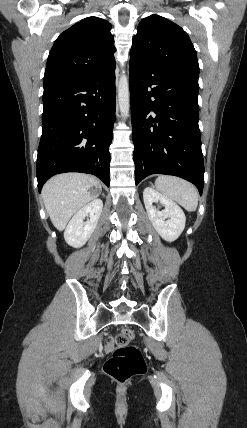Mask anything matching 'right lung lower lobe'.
<instances>
[{"instance_id": "obj_1", "label": "right lung lower lobe", "mask_w": 247, "mask_h": 428, "mask_svg": "<svg viewBox=\"0 0 247 428\" xmlns=\"http://www.w3.org/2000/svg\"><path fill=\"white\" fill-rule=\"evenodd\" d=\"M38 190L53 175L89 173L109 187L115 122V61L88 77L44 89Z\"/></svg>"}]
</instances>
